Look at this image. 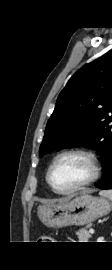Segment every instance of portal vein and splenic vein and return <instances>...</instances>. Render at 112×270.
<instances>
[{"label":"portal vein and splenic vein","instance_id":"portal-vein-and-splenic-vein-1","mask_svg":"<svg viewBox=\"0 0 112 270\" xmlns=\"http://www.w3.org/2000/svg\"><path fill=\"white\" fill-rule=\"evenodd\" d=\"M89 232H90L91 234H93V233H94V229H93V228H90V229H89Z\"/></svg>","mask_w":112,"mask_h":270}]
</instances>
